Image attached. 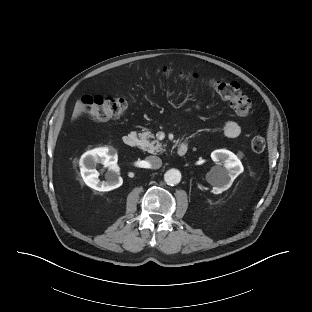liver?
I'll return each instance as SVG.
<instances>
[{"label": "liver", "instance_id": "6515ba94", "mask_svg": "<svg viewBox=\"0 0 312 312\" xmlns=\"http://www.w3.org/2000/svg\"><path fill=\"white\" fill-rule=\"evenodd\" d=\"M81 111H82L81 110V104H80V102H77L75 109H74V112L72 114V120H75L81 114Z\"/></svg>", "mask_w": 312, "mask_h": 312}]
</instances>
